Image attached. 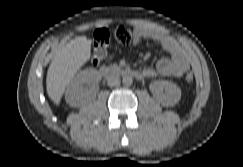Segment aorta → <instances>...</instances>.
Returning a JSON list of instances; mask_svg holds the SVG:
<instances>
[{
    "label": "aorta",
    "instance_id": "aorta-1",
    "mask_svg": "<svg viewBox=\"0 0 243 167\" xmlns=\"http://www.w3.org/2000/svg\"><path fill=\"white\" fill-rule=\"evenodd\" d=\"M122 82H123V85H125V86H131L133 83V78L130 75H125V76H123Z\"/></svg>",
    "mask_w": 243,
    "mask_h": 167
}]
</instances>
